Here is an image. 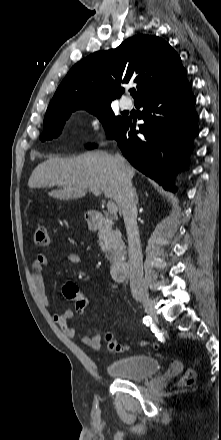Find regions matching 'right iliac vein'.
Masks as SVG:
<instances>
[{
  "label": "right iliac vein",
  "instance_id": "right-iliac-vein-1",
  "mask_svg": "<svg viewBox=\"0 0 221 440\" xmlns=\"http://www.w3.org/2000/svg\"><path fill=\"white\" fill-rule=\"evenodd\" d=\"M146 313L154 320L157 319L154 302L151 298L147 297L143 300Z\"/></svg>",
  "mask_w": 221,
  "mask_h": 440
}]
</instances>
